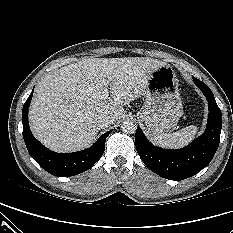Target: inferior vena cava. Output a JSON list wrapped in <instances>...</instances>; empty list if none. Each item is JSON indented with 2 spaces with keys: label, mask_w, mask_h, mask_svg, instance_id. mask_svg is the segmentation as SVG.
Segmentation results:
<instances>
[{
  "label": "inferior vena cava",
  "mask_w": 233,
  "mask_h": 233,
  "mask_svg": "<svg viewBox=\"0 0 233 233\" xmlns=\"http://www.w3.org/2000/svg\"><path fill=\"white\" fill-rule=\"evenodd\" d=\"M114 122V117L111 115H99L95 119V124L98 129H103L109 127Z\"/></svg>",
  "instance_id": "1"
}]
</instances>
